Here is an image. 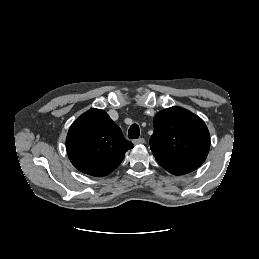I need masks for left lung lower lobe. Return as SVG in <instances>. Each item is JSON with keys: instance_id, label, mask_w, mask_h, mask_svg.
<instances>
[{"instance_id": "obj_1", "label": "left lung lower lobe", "mask_w": 259, "mask_h": 259, "mask_svg": "<svg viewBox=\"0 0 259 259\" xmlns=\"http://www.w3.org/2000/svg\"><path fill=\"white\" fill-rule=\"evenodd\" d=\"M160 165L168 172L174 175L186 174L196 169V167H192V166H177V165H170V164H164V163H160Z\"/></svg>"}]
</instances>
